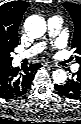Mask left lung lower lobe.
I'll return each instance as SVG.
<instances>
[{
    "label": "left lung lower lobe",
    "mask_w": 81,
    "mask_h": 124,
    "mask_svg": "<svg viewBox=\"0 0 81 124\" xmlns=\"http://www.w3.org/2000/svg\"><path fill=\"white\" fill-rule=\"evenodd\" d=\"M55 89L59 94L69 99H81V70L72 75L66 84H55Z\"/></svg>",
    "instance_id": "left-lung-lower-lobe-1"
}]
</instances>
